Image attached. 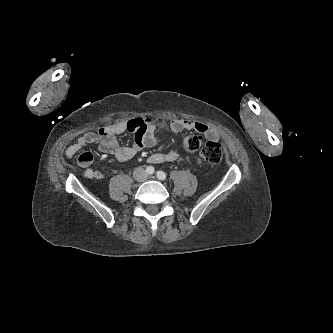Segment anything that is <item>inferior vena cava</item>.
Segmentation results:
<instances>
[{
	"label": "inferior vena cava",
	"instance_id": "1",
	"mask_svg": "<svg viewBox=\"0 0 333 333\" xmlns=\"http://www.w3.org/2000/svg\"><path fill=\"white\" fill-rule=\"evenodd\" d=\"M133 176L135 178V180L139 181V182H143L147 179L148 175L146 173V171L139 167V168H136L133 172Z\"/></svg>",
	"mask_w": 333,
	"mask_h": 333
}]
</instances>
